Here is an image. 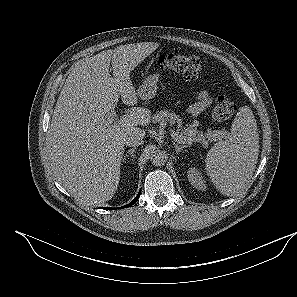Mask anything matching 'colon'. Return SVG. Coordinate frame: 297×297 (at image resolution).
I'll return each mask as SVG.
<instances>
[{"label": "colon", "instance_id": "1", "mask_svg": "<svg viewBox=\"0 0 297 297\" xmlns=\"http://www.w3.org/2000/svg\"><path fill=\"white\" fill-rule=\"evenodd\" d=\"M161 68L172 71L189 80H199L203 77V66L195 56L167 54L159 58ZM235 105L227 97H219L212 110L213 122L220 124L227 121L234 113Z\"/></svg>", "mask_w": 297, "mask_h": 297}]
</instances>
